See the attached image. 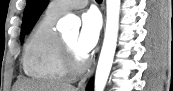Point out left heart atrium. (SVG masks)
<instances>
[{"instance_id":"obj_1","label":"left heart atrium","mask_w":173,"mask_h":91,"mask_svg":"<svg viewBox=\"0 0 173 91\" xmlns=\"http://www.w3.org/2000/svg\"><path fill=\"white\" fill-rule=\"evenodd\" d=\"M100 18L96 11L89 10L82 15L81 30L76 47L82 57L87 56L96 46L100 35Z\"/></svg>"}]
</instances>
